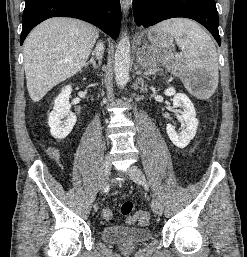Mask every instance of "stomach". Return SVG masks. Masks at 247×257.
Wrapping results in <instances>:
<instances>
[{
  "label": "stomach",
  "mask_w": 247,
  "mask_h": 257,
  "mask_svg": "<svg viewBox=\"0 0 247 257\" xmlns=\"http://www.w3.org/2000/svg\"><path fill=\"white\" fill-rule=\"evenodd\" d=\"M150 44L144 43L138 52V62L145 70H149L156 62L172 68L184 81H189L192 86V77L186 72V66L181 61L175 59L170 48L172 37L168 34H156L150 30L148 32Z\"/></svg>",
  "instance_id": "1"
}]
</instances>
